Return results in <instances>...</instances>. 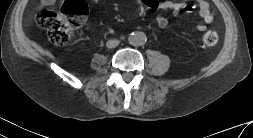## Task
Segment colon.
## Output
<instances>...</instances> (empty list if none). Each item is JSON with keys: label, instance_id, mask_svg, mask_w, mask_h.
Here are the masks:
<instances>
[{"label": "colon", "instance_id": "obj_1", "mask_svg": "<svg viewBox=\"0 0 253 138\" xmlns=\"http://www.w3.org/2000/svg\"><path fill=\"white\" fill-rule=\"evenodd\" d=\"M87 14L88 8L84 0H67L59 11H41L37 21L40 27L48 31L53 44L63 46L71 40L73 30L84 24ZM199 42L204 47L215 46L218 35L214 31H207Z\"/></svg>", "mask_w": 253, "mask_h": 138}]
</instances>
